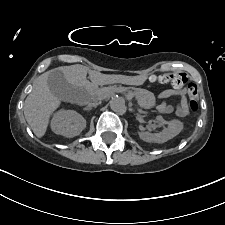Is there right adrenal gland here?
<instances>
[{"label":"right adrenal gland","mask_w":225,"mask_h":225,"mask_svg":"<svg viewBox=\"0 0 225 225\" xmlns=\"http://www.w3.org/2000/svg\"><path fill=\"white\" fill-rule=\"evenodd\" d=\"M84 110H91V108L86 107Z\"/></svg>","instance_id":"1"}]
</instances>
